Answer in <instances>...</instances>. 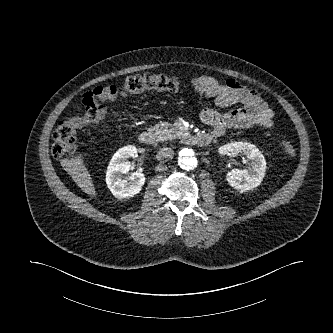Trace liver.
I'll return each instance as SVG.
<instances>
[{
	"instance_id": "obj_1",
	"label": "liver",
	"mask_w": 333,
	"mask_h": 333,
	"mask_svg": "<svg viewBox=\"0 0 333 333\" xmlns=\"http://www.w3.org/2000/svg\"><path fill=\"white\" fill-rule=\"evenodd\" d=\"M61 165L86 194L91 196L96 195L91 175L83 165V160L80 156L75 157V159H62Z\"/></svg>"
}]
</instances>
